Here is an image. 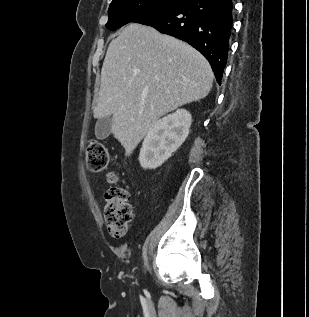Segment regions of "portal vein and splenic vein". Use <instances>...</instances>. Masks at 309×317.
Wrapping results in <instances>:
<instances>
[{
	"instance_id": "18ae733b",
	"label": "portal vein and splenic vein",
	"mask_w": 309,
	"mask_h": 317,
	"mask_svg": "<svg viewBox=\"0 0 309 317\" xmlns=\"http://www.w3.org/2000/svg\"><path fill=\"white\" fill-rule=\"evenodd\" d=\"M134 73H135V74H137V73H138V71H135Z\"/></svg>"
}]
</instances>
